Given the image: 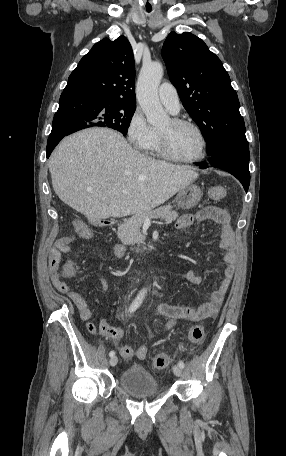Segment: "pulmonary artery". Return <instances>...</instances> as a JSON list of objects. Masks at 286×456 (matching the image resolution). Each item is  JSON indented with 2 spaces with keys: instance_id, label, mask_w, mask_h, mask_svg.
<instances>
[{
  "instance_id": "1",
  "label": "pulmonary artery",
  "mask_w": 286,
  "mask_h": 456,
  "mask_svg": "<svg viewBox=\"0 0 286 456\" xmlns=\"http://www.w3.org/2000/svg\"><path fill=\"white\" fill-rule=\"evenodd\" d=\"M160 102L173 114L179 111V97L176 88L170 83H163L158 89Z\"/></svg>"
}]
</instances>
